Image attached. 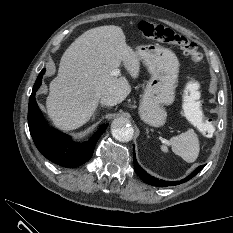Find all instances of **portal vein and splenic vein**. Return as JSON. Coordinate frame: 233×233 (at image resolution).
<instances>
[{
	"mask_svg": "<svg viewBox=\"0 0 233 233\" xmlns=\"http://www.w3.org/2000/svg\"><path fill=\"white\" fill-rule=\"evenodd\" d=\"M119 73H120L119 69H114V70L111 71L110 75L111 76H117V75H119Z\"/></svg>",
	"mask_w": 233,
	"mask_h": 233,
	"instance_id": "18ae733b",
	"label": "portal vein and splenic vein"
}]
</instances>
